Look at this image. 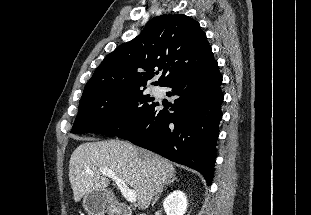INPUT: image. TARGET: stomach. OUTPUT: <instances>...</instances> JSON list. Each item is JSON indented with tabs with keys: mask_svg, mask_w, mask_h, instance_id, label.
<instances>
[{
	"mask_svg": "<svg viewBox=\"0 0 311 215\" xmlns=\"http://www.w3.org/2000/svg\"><path fill=\"white\" fill-rule=\"evenodd\" d=\"M83 207L89 215H115L117 206L112 193L105 189H94L83 198Z\"/></svg>",
	"mask_w": 311,
	"mask_h": 215,
	"instance_id": "0dacf381",
	"label": "stomach"
}]
</instances>
